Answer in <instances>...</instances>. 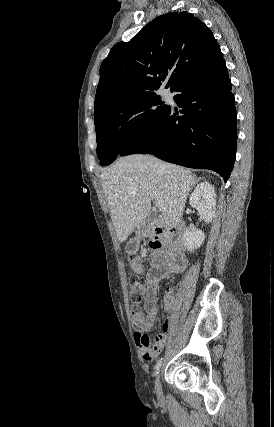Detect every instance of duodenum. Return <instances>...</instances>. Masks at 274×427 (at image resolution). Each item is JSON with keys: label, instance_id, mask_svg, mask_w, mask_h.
<instances>
[{"label": "duodenum", "instance_id": "410a0bca", "mask_svg": "<svg viewBox=\"0 0 274 427\" xmlns=\"http://www.w3.org/2000/svg\"><path fill=\"white\" fill-rule=\"evenodd\" d=\"M171 231V229L155 225L153 229V245L157 248L166 246L171 237Z\"/></svg>", "mask_w": 274, "mask_h": 427}]
</instances>
